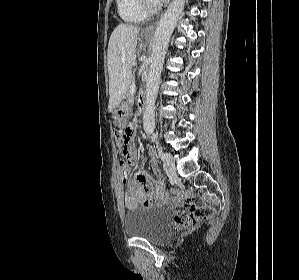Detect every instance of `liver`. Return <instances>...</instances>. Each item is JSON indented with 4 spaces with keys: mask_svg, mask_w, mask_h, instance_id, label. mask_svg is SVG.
<instances>
[{
    "mask_svg": "<svg viewBox=\"0 0 299 280\" xmlns=\"http://www.w3.org/2000/svg\"><path fill=\"white\" fill-rule=\"evenodd\" d=\"M140 27L120 24L112 32L108 44L109 112L124 99L132 73Z\"/></svg>",
    "mask_w": 299,
    "mask_h": 280,
    "instance_id": "1",
    "label": "liver"
}]
</instances>
